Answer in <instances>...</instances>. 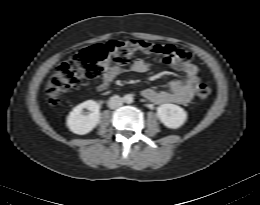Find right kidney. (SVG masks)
I'll return each mask as SVG.
<instances>
[{
	"mask_svg": "<svg viewBox=\"0 0 260 205\" xmlns=\"http://www.w3.org/2000/svg\"><path fill=\"white\" fill-rule=\"evenodd\" d=\"M83 109L90 110L88 115ZM100 106L93 100L85 101L76 106L67 117V126L75 134L84 135L92 131L100 121Z\"/></svg>",
	"mask_w": 260,
	"mask_h": 205,
	"instance_id": "1",
	"label": "right kidney"
}]
</instances>
